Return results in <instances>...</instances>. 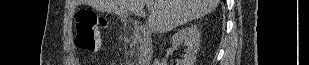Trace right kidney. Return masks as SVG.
<instances>
[{"instance_id":"ca27d5eb","label":"right kidney","mask_w":309,"mask_h":65,"mask_svg":"<svg viewBox=\"0 0 309 65\" xmlns=\"http://www.w3.org/2000/svg\"><path fill=\"white\" fill-rule=\"evenodd\" d=\"M182 43L187 47L183 58L177 60L176 65H194L196 55L200 45V32L197 27L189 26L179 29L171 38L173 47H179ZM155 65H159V60L155 59Z\"/></svg>"}]
</instances>
